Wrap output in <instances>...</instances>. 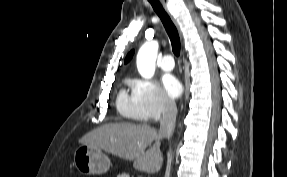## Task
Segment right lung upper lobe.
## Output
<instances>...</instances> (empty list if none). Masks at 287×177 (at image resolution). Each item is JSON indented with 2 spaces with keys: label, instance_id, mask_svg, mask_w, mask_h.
<instances>
[{
  "label": "right lung upper lobe",
  "instance_id": "right-lung-upper-lobe-1",
  "mask_svg": "<svg viewBox=\"0 0 287 177\" xmlns=\"http://www.w3.org/2000/svg\"><path fill=\"white\" fill-rule=\"evenodd\" d=\"M133 53H134V51H131L130 53H128V55H127L126 58H125V63H127L128 61H130V59H131L132 56H133Z\"/></svg>",
  "mask_w": 287,
  "mask_h": 177
}]
</instances>
